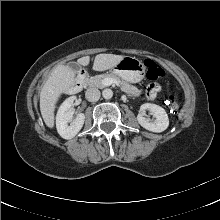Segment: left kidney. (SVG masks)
I'll list each match as a JSON object with an SVG mask.
<instances>
[{
	"label": "left kidney",
	"mask_w": 220,
	"mask_h": 220,
	"mask_svg": "<svg viewBox=\"0 0 220 220\" xmlns=\"http://www.w3.org/2000/svg\"><path fill=\"white\" fill-rule=\"evenodd\" d=\"M146 110H149L153 114L155 120L151 121L144 116ZM137 120L143 128L156 133L163 132L169 126V119L166 111L162 107L151 103L141 105Z\"/></svg>",
	"instance_id": "obj_1"
}]
</instances>
